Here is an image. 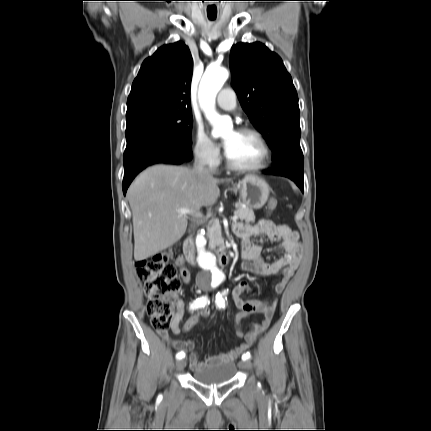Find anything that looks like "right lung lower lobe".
Returning a JSON list of instances; mask_svg holds the SVG:
<instances>
[{"label": "right lung lower lobe", "instance_id": "obj_1", "mask_svg": "<svg viewBox=\"0 0 431 431\" xmlns=\"http://www.w3.org/2000/svg\"><path fill=\"white\" fill-rule=\"evenodd\" d=\"M191 157V146L159 134L128 142L123 157L124 195L135 176L146 167L156 163L182 164Z\"/></svg>", "mask_w": 431, "mask_h": 431}]
</instances>
